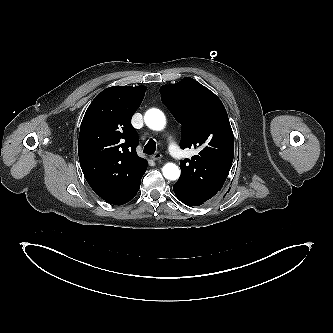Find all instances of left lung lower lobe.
<instances>
[{"label":"left lung lower lobe","mask_w":333,"mask_h":333,"mask_svg":"<svg viewBox=\"0 0 333 333\" xmlns=\"http://www.w3.org/2000/svg\"><path fill=\"white\" fill-rule=\"evenodd\" d=\"M173 190H174V193L177 196V198L181 202L186 204L187 206H190V207L199 206L205 202L202 199H200L198 196H196L195 194L188 192L187 190H185L184 188H182L176 184H174Z\"/></svg>","instance_id":"left-lung-lower-lobe-1"}]
</instances>
